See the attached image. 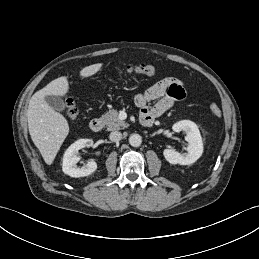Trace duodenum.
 Returning <instances> with one entry per match:
<instances>
[{
	"label": "duodenum",
	"instance_id": "1",
	"mask_svg": "<svg viewBox=\"0 0 259 259\" xmlns=\"http://www.w3.org/2000/svg\"><path fill=\"white\" fill-rule=\"evenodd\" d=\"M141 122L145 125H149L153 122L152 118H148V117H141ZM103 127V122L101 119L98 118H94L90 121V129L93 132H99Z\"/></svg>",
	"mask_w": 259,
	"mask_h": 259
}]
</instances>
